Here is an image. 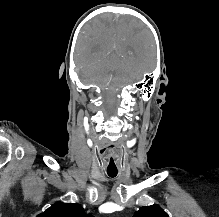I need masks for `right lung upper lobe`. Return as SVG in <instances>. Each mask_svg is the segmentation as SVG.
Returning a JSON list of instances; mask_svg holds the SVG:
<instances>
[{
  "instance_id": "cb5924a9",
  "label": "right lung upper lobe",
  "mask_w": 219,
  "mask_h": 217,
  "mask_svg": "<svg viewBox=\"0 0 219 217\" xmlns=\"http://www.w3.org/2000/svg\"><path fill=\"white\" fill-rule=\"evenodd\" d=\"M37 217H93L86 214L79 204L58 202Z\"/></svg>"
}]
</instances>
